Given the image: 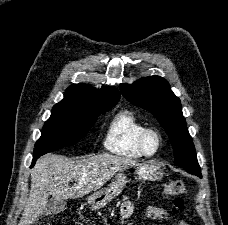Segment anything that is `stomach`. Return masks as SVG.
Masks as SVG:
<instances>
[{"instance_id": "stomach-1", "label": "stomach", "mask_w": 228, "mask_h": 225, "mask_svg": "<svg viewBox=\"0 0 228 225\" xmlns=\"http://www.w3.org/2000/svg\"><path fill=\"white\" fill-rule=\"evenodd\" d=\"M135 175L139 179H159V171L154 167V165H136ZM127 177L124 175L123 171H119L114 179V183L108 185L106 189H99L95 191L93 195L88 197L87 201L91 207H103L110 203L112 199L118 197L122 193L126 185Z\"/></svg>"}]
</instances>
